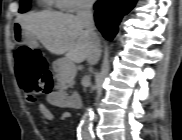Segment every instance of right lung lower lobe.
<instances>
[{"instance_id":"obj_1","label":"right lung lower lobe","mask_w":182,"mask_h":140,"mask_svg":"<svg viewBox=\"0 0 182 140\" xmlns=\"http://www.w3.org/2000/svg\"><path fill=\"white\" fill-rule=\"evenodd\" d=\"M137 0H99L95 8V22L103 36L112 40L122 18L135 6Z\"/></svg>"}]
</instances>
